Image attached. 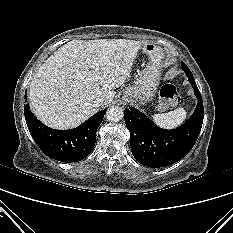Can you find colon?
Here are the masks:
<instances>
[{"instance_id": "5ec220e1", "label": "colon", "mask_w": 233, "mask_h": 233, "mask_svg": "<svg viewBox=\"0 0 233 233\" xmlns=\"http://www.w3.org/2000/svg\"><path fill=\"white\" fill-rule=\"evenodd\" d=\"M180 101V95L176 86L172 84L164 85L160 90L159 107L167 109L170 106L176 105Z\"/></svg>"}]
</instances>
